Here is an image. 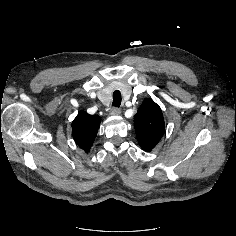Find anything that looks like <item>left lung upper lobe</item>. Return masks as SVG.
Returning a JSON list of instances; mask_svg holds the SVG:
<instances>
[{"mask_svg": "<svg viewBox=\"0 0 236 236\" xmlns=\"http://www.w3.org/2000/svg\"><path fill=\"white\" fill-rule=\"evenodd\" d=\"M134 125L139 145L145 151H151L165 132L162 111L151 99H145L139 107Z\"/></svg>", "mask_w": 236, "mask_h": 236, "instance_id": "1", "label": "left lung upper lobe"}]
</instances>
